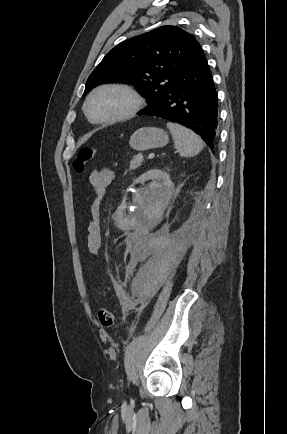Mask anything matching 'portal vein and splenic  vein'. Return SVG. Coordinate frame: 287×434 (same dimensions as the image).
I'll return each instance as SVG.
<instances>
[{
  "label": "portal vein and splenic vein",
  "instance_id": "1",
  "mask_svg": "<svg viewBox=\"0 0 287 434\" xmlns=\"http://www.w3.org/2000/svg\"><path fill=\"white\" fill-rule=\"evenodd\" d=\"M154 156H155V154H154V153H150V154L148 155V158H149V159H153V158H154Z\"/></svg>",
  "mask_w": 287,
  "mask_h": 434
}]
</instances>
